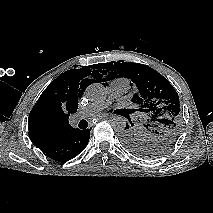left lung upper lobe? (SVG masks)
I'll list each match as a JSON object with an SVG mask.
<instances>
[{
    "label": "left lung upper lobe",
    "mask_w": 213,
    "mask_h": 213,
    "mask_svg": "<svg viewBox=\"0 0 213 213\" xmlns=\"http://www.w3.org/2000/svg\"><path fill=\"white\" fill-rule=\"evenodd\" d=\"M98 69L107 75L105 81L126 77L138 89L132 102L141 112L140 124L126 125L123 144L132 153L147 158L169 151L182 128L179 97L170 82L153 68L140 63L109 62L100 64Z\"/></svg>",
    "instance_id": "left-lung-upper-lobe-1"
}]
</instances>
